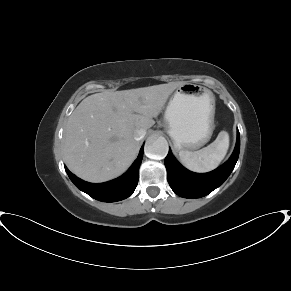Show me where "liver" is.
<instances>
[{"instance_id":"obj_1","label":"liver","mask_w":291,"mask_h":291,"mask_svg":"<svg viewBox=\"0 0 291 291\" xmlns=\"http://www.w3.org/2000/svg\"><path fill=\"white\" fill-rule=\"evenodd\" d=\"M181 82L105 91L83 99L68 118L64 161L83 180L100 183L123 174L136 158L137 129L151 128Z\"/></svg>"}]
</instances>
